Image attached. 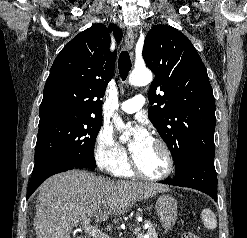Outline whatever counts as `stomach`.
<instances>
[{
    "label": "stomach",
    "instance_id": "0dacf381",
    "mask_svg": "<svg viewBox=\"0 0 247 238\" xmlns=\"http://www.w3.org/2000/svg\"><path fill=\"white\" fill-rule=\"evenodd\" d=\"M156 211L162 227L167 231L177 219V201L170 195L163 194L156 201Z\"/></svg>",
    "mask_w": 247,
    "mask_h": 238
}]
</instances>
